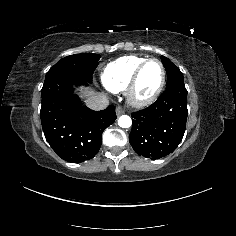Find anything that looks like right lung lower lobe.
I'll list each match as a JSON object with an SVG mask.
<instances>
[{
  "label": "right lung lower lobe",
  "instance_id": "right-lung-lower-lobe-1",
  "mask_svg": "<svg viewBox=\"0 0 236 236\" xmlns=\"http://www.w3.org/2000/svg\"><path fill=\"white\" fill-rule=\"evenodd\" d=\"M77 75H59L43 84L40 117L47 142L65 161L81 163L100 149L103 131L116 119L115 106L93 111L82 105L74 86L88 85Z\"/></svg>",
  "mask_w": 236,
  "mask_h": 236
}]
</instances>
